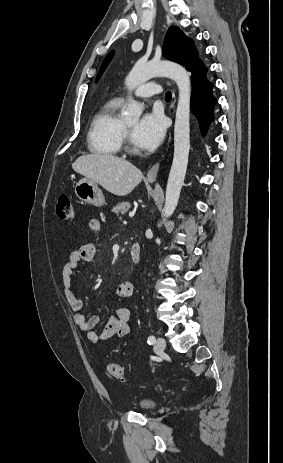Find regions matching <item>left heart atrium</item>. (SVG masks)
<instances>
[{"label": "left heart atrium", "mask_w": 283, "mask_h": 463, "mask_svg": "<svg viewBox=\"0 0 283 463\" xmlns=\"http://www.w3.org/2000/svg\"><path fill=\"white\" fill-rule=\"evenodd\" d=\"M164 117L157 111L148 112L139 120L133 130L135 144L144 150L155 149L165 135Z\"/></svg>", "instance_id": "39dd6f15"}]
</instances>
